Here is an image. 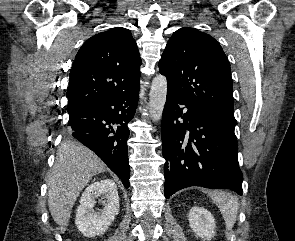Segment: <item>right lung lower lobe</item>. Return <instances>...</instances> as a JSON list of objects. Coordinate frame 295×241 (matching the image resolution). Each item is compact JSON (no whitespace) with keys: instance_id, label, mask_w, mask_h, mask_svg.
Segmentation results:
<instances>
[{"instance_id":"obj_1","label":"right lung lower lobe","mask_w":295,"mask_h":241,"mask_svg":"<svg viewBox=\"0 0 295 241\" xmlns=\"http://www.w3.org/2000/svg\"><path fill=\"white\" fill-rule=\"evenodd\" d=\"M139 83L131 90L93 99L68 112L70 135L94 151L129 187L127 124L138 102Z\"/></svg>"}]
</instances>
